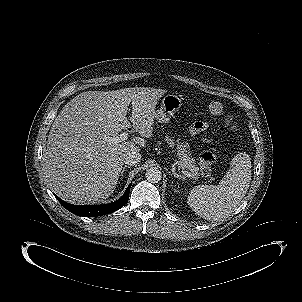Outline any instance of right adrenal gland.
<instances>
[{"mask_svg": "<svg viewBox=\"0 0 302 302\" xmlns=\"http://www.w3.org/2000/svg\"><path fill=\"white\" fill-rule=\"evenodd\" d=\"M128 166H124L123 167V169H122V171H121V174H120V176H121V179H123V177H124V172H125V170H126V168H127ZM129 168V167H128Z\"/></svg>", "mask_w": 302, "mask_h": 302, "instance_id": "obj_1", "label": "right adrenal gland"}]
</instances>
